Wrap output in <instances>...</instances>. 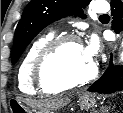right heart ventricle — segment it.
<instances>
[{
    "label": "right heart ventricle",
    "mask_w": 123,
    "mask_h": 113,
    "mask_svg": "<svg viewBox=\"0 0 123 113\" xmlns=\"http://www.w3.org/2000/svg\"><path fill=\"white\" fill-rule=\"evenodd\" d=\"M55 34L53 32H48L40 36L35 40L28 51L26 52L17 73V80L19 88L31 94H54L61 90H46L38 86L35 82L33 75V66L36 57L38 56L41 49L52 39Z\"/></svg>",
    "instance_id": "e07e8e85"
}]
</instances>
